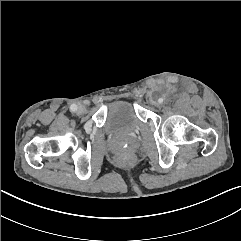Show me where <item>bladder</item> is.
Wrapping results in <instances>:
<instances>
[{
  "label": "bladder",
  "mask_w": 241,
  "mask_h": 241,
  "mask_svg": "<svg viewBox=\"0 0 241 241\" xmlns=\"http://www.w3.org/2000/svg\"><path fill=\"white\" fill-rule=\"evenodd\" d=\"M141 126L142 123L130 103L115 101L107 107L103 129L108 136L129 138L138 133Z\"/></svg>",
  "instance_id": "bladder-1"
}]
</instances>
